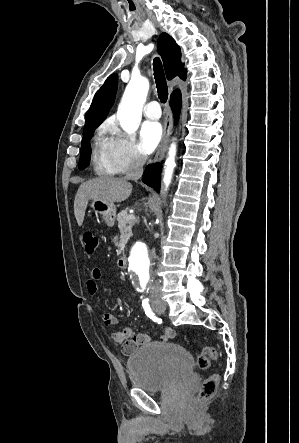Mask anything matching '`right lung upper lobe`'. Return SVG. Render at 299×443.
Masks as SVG:
<instances>
[{
  "instance_id": "1",
  "label": "right lung upper lobe",
  "mask_w": 299,
  "mask_h": 443,
  "mask_svg": "<svg viewBox=\"0 0 299 443\" xmlns=\"http://www.w3.org/2000/svg\"><path fill=\"white\" fill-rule=\"evenodd\" d=\"M158 52L162 57L167 78L170 80L179 75L182 80H185L186 69L181 62L180 47L167 33H162L159 37ZM117 81V74H112L97 91L89 109L84 129L93 125L99 126L106 118L115 99Z\"/></svg>"
}]
</instances>
